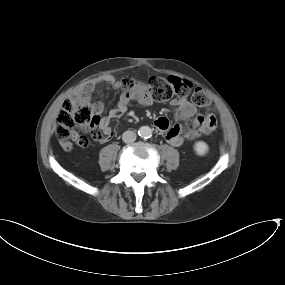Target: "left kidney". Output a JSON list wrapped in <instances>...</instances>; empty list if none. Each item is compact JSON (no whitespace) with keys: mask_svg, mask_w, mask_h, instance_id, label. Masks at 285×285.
<instances>
[{"mask_svg":"<svg viewBox=\"0 0 285 285\" xmlns=\"http://www.w3.org/2000/svg\"><path fill=\"white\" fill-rule=\"evenodd\" d=\"M194 150H195L196 154L202 156L208 152L209 147L205 142L198 141L194 144Z\"/></svg>","mask_w":285,"mask_h":285,"instance_id":"left-kidney-1","label":"left kidney"}]
</instances>
